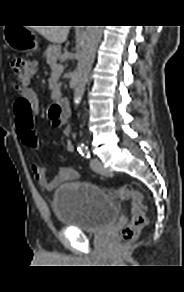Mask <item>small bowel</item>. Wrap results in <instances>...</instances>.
<instances>
[{
  "instance_id": "small-bowel-1",
  "label": "small bowel",
  "mask_w": 184,
  "mask_h": 292,
  "mask_svg": "<svg viewBox=\"0 0 184 292\" xmlns=\"http://www.w3.org/2000/svg\"><path fill=\"white\" fill-rule=\"evenodd\" d=\"M53 125L59 128L61 130V133L64 136L68 137L71 134V128L65 125L63 122H58L54 120ZM16 128H17L18 137L20 138L19 128L17 124H16ZM73 150H74V147H73L72 142L67 141L66 151L68 153H72ZM32 170L38 183L47 190H53L63 183L74 181L77 178H79V173L74 168L69 167V166L60 167L58 172L51 177L48 176L44 168H41L36 164L32 165Z\"/></svg>"
}]
</instances>
